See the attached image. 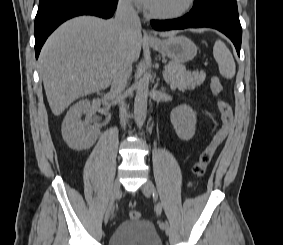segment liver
I'll use <instances>...</instances> for the list:
<instances>
[{"mask_svg":"<svg viewBox=\"0 0 283 245\" xmlns=\"http://www.w3.org/2000/svg\"><path fill=\"white\" fill-rule=\"evenodd\" d=\"M141 46V27L132 29L124 41L114 20L80 16L62 24L39 56V72L52 113L59 116L78 98L109 87L119 59L127 56L137 61Z\"/></svg>","mask_w":283,"mask_h":245,"instance_id":"6515ba94","label":"liver"}]
</instances>
